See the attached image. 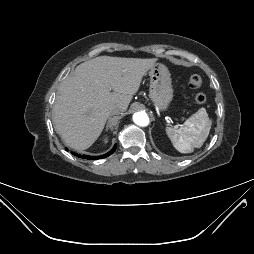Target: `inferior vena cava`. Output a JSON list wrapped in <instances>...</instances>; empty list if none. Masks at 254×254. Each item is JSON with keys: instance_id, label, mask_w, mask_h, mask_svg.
Listing matches in <instances>:
<instances>
[{"instance_id": "1", "label": "inferior vena cava", "mask_w": 254, "mask_h": 254, "mask_svg": "<svg viewBox=\"0 0 254 254\" xmlns=\"http://www.w3.org/2000/svg\"><path fill=\"white\" fill-rule=\"evenodd\" d=\"M122 112L121 107L115 106L110 110V115H118Z\"/></svg>"}]
</instances>
